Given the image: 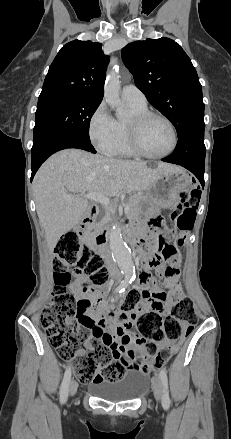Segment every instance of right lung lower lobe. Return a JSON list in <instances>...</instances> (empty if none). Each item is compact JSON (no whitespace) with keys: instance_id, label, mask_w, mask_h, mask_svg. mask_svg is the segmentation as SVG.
<instances>
[{"instance_id":"obj_1","label":"right lung lower lobe","mask_w":231,"mask_h":439,"mask_svg":"<svg viewBox=\"0 0 231 439\" xmlns=\"http://www.w3.org/2000/svg\"><path fill=\"white\" fill-rule=\"evenodd\" d=\"M67 148L83 149L92 153H96L91 142L82 139L74 134L59 133L53 135L31 150L32 158V176L33 179L35 173L41 166V164L53 153Z\"/></svg>"}]
</instances>
